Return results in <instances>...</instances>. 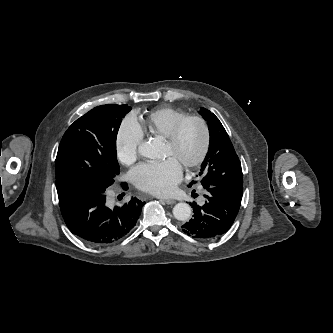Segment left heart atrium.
<instances>
[{"mask_svg": "<svg viewBox=\"0 0 333 333\" xmlns=\"http://www.w3.org/2000/svg\"><path fill=\"white\" fill-rule=\"evenodd\" d=\"M181 178V164L172 157L139 164L130 172V179L138 189L154 195L170 194Z\"/></svg>", "mask_w": 333, "mask_h": 333, "instance_id": "39dd6f15", "label": "left heart atrium"}]
</instances>
